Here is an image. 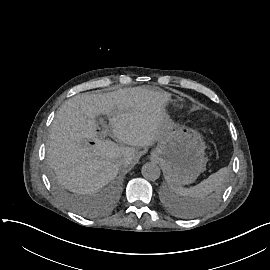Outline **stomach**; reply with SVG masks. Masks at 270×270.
<instances>
[{"label": "stomach", "mask_w": 270, "mask_h": 270, "mask_svg": "<svg viewBox=\"0 0 270 270\" xmlns=\"http://www.w3.org/2000/svg\"><path fill=\"white\" fill-rule=\"evenodd\" d=\"M201 135L186 125H169L163 131L150 160L160 163L172 184L192 183L206 169Z\"/></svg>", "instance_id": "0dacf381"}]
</instances>
